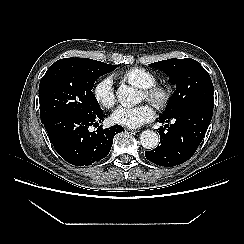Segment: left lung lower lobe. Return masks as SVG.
I'll return each instance as SVG.
<instances>
[{
	"mask_svg": "<svg viewBox=\"0 0 244 244\" xmlns=\"http://www.w3.org/2000/svg\"><path fill=\"white\" fill-rule=\"evenodd\" d=\"M213 106L193 104L169 116H162L160 122L173 124L161 126L158 130L160 144L145 152L147 160L160 166H176L193 156L200 145L212 119Z\"/></svg>",
	"mask_w": 244,
	"mask_h": 244,
	"instance_id": "1",
	"label": "left lung lower lobe"
}]
</instances>
